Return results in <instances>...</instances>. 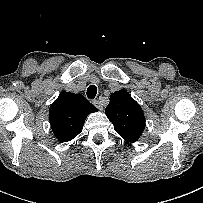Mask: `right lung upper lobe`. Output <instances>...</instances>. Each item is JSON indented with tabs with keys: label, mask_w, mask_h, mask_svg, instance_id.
Masks as SVG:
<instances>
[{
	"label": "right lung upper lobe",
	"mask_w": 203,
	"mask_h": 203,
	"mask_svg": "<svg viewBox=\"0 0 203 203\" xmlns=\"http://www.w3.org/2000/svg\"><path fill=\"white\" fill-rule=\"evenodd\" d=\"M96 111L83 95L62 91L49 109L51 129L59 141H70L82 131L88 114Z\"/></svg>",
	"instance_id": "1"
}]
</instances>
